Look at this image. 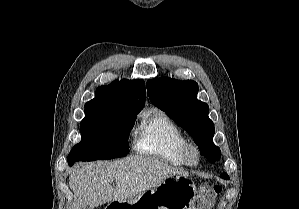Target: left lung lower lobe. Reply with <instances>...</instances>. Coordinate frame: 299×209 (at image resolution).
Segmentation results:
<instances>
[{
    "label": "left lung lower lobe",
    "mask_w": 299,
    "mask_h": 209,
    "mask_svg": "<svg viewBox=\"0 0 299 209\" xmlns=\"http://www.w3.org/2000/svg\"><path fill=\"white\" fill-rule=\"evenodd\" d=\"M220 177L223 178V179H226V180L229 179V176L227 175V173H223V174H221Z\"/></svg>",
    "instance_id": "1"
}]
</instances>
